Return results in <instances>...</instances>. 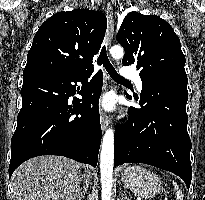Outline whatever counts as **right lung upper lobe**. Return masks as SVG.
Segmentation results:
<instances>
[{"mask_svg": "<svg viewBox=\"0 0 205 200\" xmlns=\"http://www.w3.org/2000/svg\"><path fill=\"white\" fill-rule=\"evenodd\" d=\"M107 19L98 11L75 9L47 19L34 36L27 55V71L84 74L101 47Z\"/></svg>", "mask_w": 205, "mask_h": 200, "instance_id": "right-lung-upper-lobe-1", "label": "right lung upper lobe"}]
</instances>
